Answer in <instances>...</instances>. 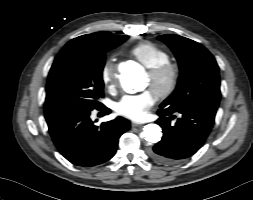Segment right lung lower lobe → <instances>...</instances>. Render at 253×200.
Wrapping results in <instances>:
<instances>
[{
  "label": "right lung lower lobe",
  "instance_id": "1",
  "mask_svg": "<svg viewBox=\"0 0 253 200\" xmlns=\"http://www.w3.org/2000/svg\"><path fill=\"white\" fill-rule=\"evenodd\" d=\"M109 113L106 107L102 108ZM91 110L63 109L45 112L50 135L60 153L72 164L91 167L111 159L119 137L130 128L118 117L96 126L89 118Z\"/></svg>",
  "mask_w": 253,
  "mask_h": 200
}]
</instances>
